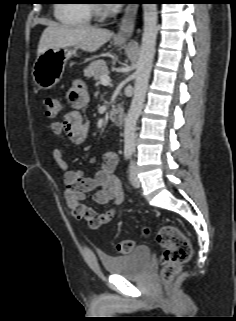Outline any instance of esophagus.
I'll return each mask as SVG.
<instances>
[{
    "label": "esophagus",
    "mask_w": 236,
    "mask_h": 321,
    "mask_svg": "<svg viewBox=\"0 0 236 321\" xmlns=\"http://www.w3.org/2000/svg\"><path fill=\"white\" fill-rule=\"evenodd\" d=\"M137 11L138 6L135 4H130L125 8L119 24V30L115 35L116 39L126 40L132 36Z\"/></svg>",
    "instance_id": "obj_1"
}]
</instances>
